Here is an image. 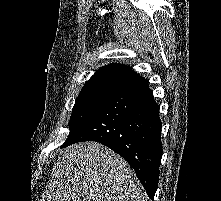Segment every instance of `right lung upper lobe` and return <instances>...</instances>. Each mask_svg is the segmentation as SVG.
<instances>
[{
  "mask_svg": "<svg viewBox=\"0 0 221 201\" xmlns=\"http://www.w3.org/2000/svg\"><path fill=\"white\" fill-rule=\"evenodd\" d=\"M139 77L129 66L113 63L100 68L82 89L92 87L121 89Z\"/></svg>",
  "mask_w": 221,
  "mask_h": 201,
  "instance_id": "1",
  "label": "right lung upper lobe"
}]
</instances>
